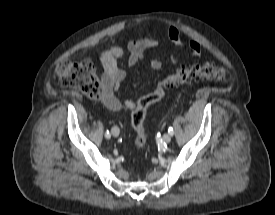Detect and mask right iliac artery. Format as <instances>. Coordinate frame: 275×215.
<instances>
[{
  "instance_id": "right-iliac-artery-1",
  "label": "right iliac artery",
  "mask_w": 275,
  "mask_h": 215,
  "mask_svg": "<svg viewBox=\"0 0 275 215\" xmlns=\"http://www.w3.org/2000/svg\"><path fill=\"white\" fill-rule=\"evenodd\" d=\"M105 137L108 138V139L111 137V135H110V133H109L108 130H107V132L105 133Z\"/></svg>"
}]
</instances>
